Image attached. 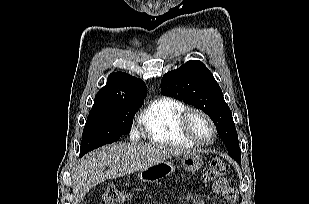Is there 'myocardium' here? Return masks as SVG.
<instances>
[{
  "instance_id": "myocardium-1",
  "label": "myocardium",
  "mask_w": 309,
  "mask_h": 204,
  "mask_svg": "<svg viewBox=\"0 0 309 204\" xmlns=\"http://www.w3.org/2000/svg\"><path fill=\"white\" fill-rule=\"evenodd\" d=\"M194 114L202 116L209 124L211 131H212V136L208 141H201L193 134L191 127H190V120ZM180 128L183 134L186 136V138L189 139L194 145H197V146H208L215 141L216 136H217V129L211 117L205 111L199 108H195V107L187 108L182 113L181 118H180Z\"/></svg>"
}]
</instances>
